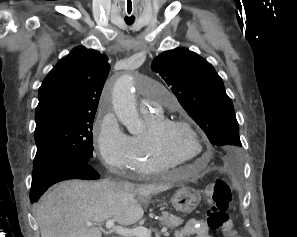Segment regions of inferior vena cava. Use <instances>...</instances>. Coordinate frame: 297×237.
Here are the masks:
<instances>
[{"label":"inferior vena cava","mask_w":297,"mask_h":237,"mask_svg":"<svg viewBox=\"0 0 297 237\" xmlns=\"http://www.w3.org/2000/svg\"><path fill=\"white\" fill-rule=\"evenodd\" d=\"M119 185L122 186V187H130V186H132V184H130L129 182H120Z\"/></svg>","instance_id":"obj_1"}]
</instances>
